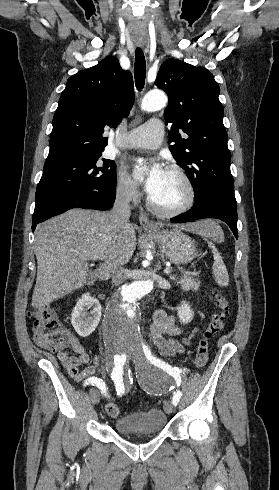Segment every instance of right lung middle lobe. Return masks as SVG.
Listing matches in <instances>:
<instances>
[{
    "mask_svg": "<svg viewBox=\"0 0 279 490\" xmlns=\"http://www.w3.org/2000/svg\"><path fill=\"white\" fill-rule=\"evenodd\" d=\"M102 151L82 157L45 162L36 197L48 191L97 190L116 188L115 162L100 159Z\"/></svg>",
    "mask_w": 279,
    "mask_h": 490,
    "instance_id": "obj_1",
    "label": "right lung middle lobe"
}]
</instances>
